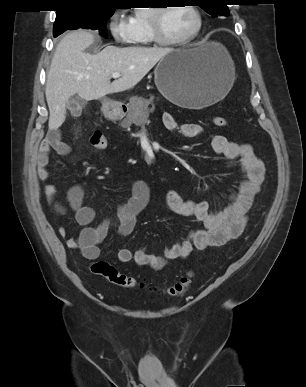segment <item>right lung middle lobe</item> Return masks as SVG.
I'll use <instances>...</instances> for the list:
<instances>
[{
    "label": "right lung middle lobe",
    "instance_id": "right-lung-middle-lobe-1",
    "mask_svg": "<svg viewBox=\"0 0 306 387\" xmlns=\"http://www.w3.org/2000/svg\"><path fill=\"white\" fill-rule=\"evenodd\" d=\"M114 10H70L57 13L53 35L57 37L69 29H92L107 38L106 22L113 15Z\"/></svg>",
    "mask_w": 306,
    "mask_h": 387
}]
</instances>
